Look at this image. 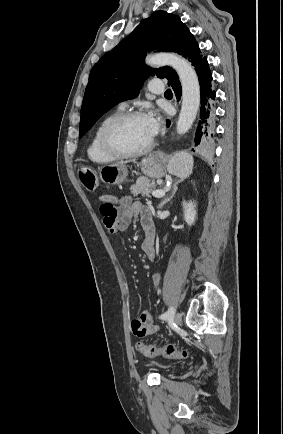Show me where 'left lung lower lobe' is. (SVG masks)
Masks as SVG:
<instances>
[{"instance_id": "left-lung-lower-lobe-1", "label": "left lung lower lobe", "mask_w": 283, "mask_h": 434, "mask_svg": "<svg viewBox=\"0 0 283 434\" xmlns=\"http://www.w3.org/2000/svg\"><path fill=\"white\" fill-rule=\"evenodd\" d=\"M195 71L200 84V115L195 135V143L203 147H209L213 143L215 132L216 91L207 58L201 60ZM172 87L177 99L181 97L182 90L179 81L169 85ZM170 122H167L169 126Z\"/></svg>"}]
</instances>
